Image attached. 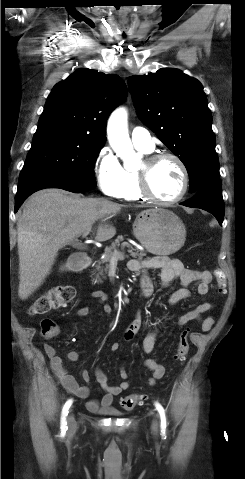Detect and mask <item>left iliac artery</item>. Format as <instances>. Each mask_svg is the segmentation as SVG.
I'll return each mask as SVG.
<instances>
[{"label": "left iliac artery", "instance_id": "1", "mask_svg": "<svg viewBox=\"0 0 245 479\" xmlns=\"http://www.w3.org/2000/svg\"><path fill=\"white\" fill-rule=\"evenodd\" d=\"M155 406H156V409L158 410L159 415H160V420H161V433H162V435H165L166 426H167L165 410H164V408L161 406V404H159V403H157V402L155 403Z\"/></svg>", "mask_w": 245, "mask_h": 479}]
</instances>
